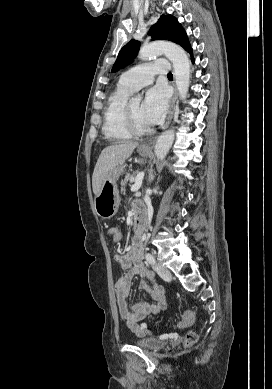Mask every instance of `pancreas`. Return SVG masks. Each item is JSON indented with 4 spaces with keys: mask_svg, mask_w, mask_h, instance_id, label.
Listing matches in <instances>:
<instances>
[{
    "mask_svg": "<svg viewBox=\"0 0 272 389\" xmlns=\"http://www.w3.org/2000/svg\"><path fill=\"white\" fill-rule=\"evenodd\" d=\"M134 181H135L134 175H132V174L127 175L126 178L124 179V181H122V183H121V190L124 191L127 184L132 183Z\"/></svg>",
    "mask_w": 272,
    "mask_h": 389,
    "instance_id": "1",
    "label": "pancreas"
}]
</instances>
